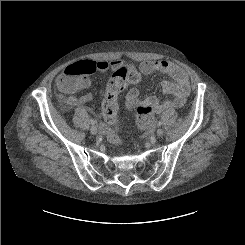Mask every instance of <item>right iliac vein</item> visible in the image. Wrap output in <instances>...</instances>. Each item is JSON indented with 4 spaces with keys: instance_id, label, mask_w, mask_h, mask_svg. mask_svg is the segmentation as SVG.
Returning a JSON list of instances; mask_svg holds the SVG:
<instances>
[{
    "instance_id": "obj_1",
    "label": "right iliac vein",
    "mask_w": 245,
    "mask_h": 245,
    "mask_svg": "<svg viewBox=\"0 0 245 245\" xmlns=\"http://www.w3.org/2000/svg\"><path fill=\"white\" fill-rule=\"evenodd\" d=\"M91 133L93 135H96L97 134V128L95 126H92L91 129H90Z\"/></svg>"
}]
</instances>
